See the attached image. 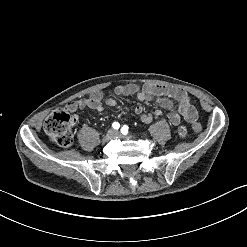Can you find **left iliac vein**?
Returning <instances> with one entry per match:
<instances>
[{"label": "left iliac vein", "instance_id": "1", "mask_svg": "<svg viewBox=\"0 0 247 247\" xmlns=\"http://www.w3.org/2000/svg\"><path fill=\"white\" fill-rule=\"evenodd\" d=\"M116 135H117V136H120V133L116 131Z\"/></svg>", "mask_w": 247, "mask_h": 247}]
</instances>
